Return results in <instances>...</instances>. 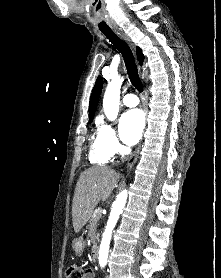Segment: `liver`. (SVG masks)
Returning <instances> with one entry per match:
<instances>
[{"label":"liver","instance_id":"liver-1","mask_svg":"<svg viewBox=\"0 0 221 278\" xmlns=\"http://www.w3.org/2000/svg\"><path fill=\"white\" fill-rule=\"evenodd\" d=\"M120 175L106 166L91 167L81 173L72 202V221L78 233L92 216L100 200L106 201L117 186Z\"/></svg>","mask_w":221,"mask_h":278}]
</instances>
